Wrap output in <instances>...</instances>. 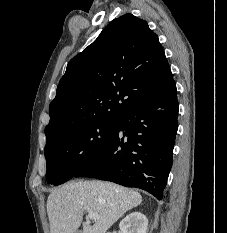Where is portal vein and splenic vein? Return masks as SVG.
<instances>
[{
  "label": "portal vein and splenic vein",
  "instance_id": "obj_1",
  "mask_svg": "<svg viewBox=\"0 0 227 233\" xmlns=\"http://www.w3.org/2000/svg\"><path fill=\"white\" fill-rule=\"evenodd\" d=\"M88 217L91 219V220H96V219H100V217L94 213V212H88Z\"/></svg>",
  "mask_w": 227,
  "mask_h": 233
}]
</instances>
